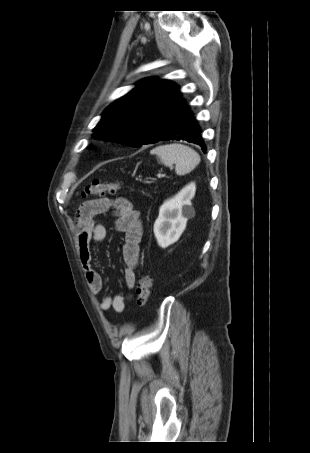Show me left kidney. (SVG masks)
<instances>
[{
    "label": "left kidney",
    "instance_id": "1",
    "mask_svg": "<svg viewBox=\"0 0 310 453\" xmlns=\"http://www.w3.org/2000/svg\"><path fill=\"white\" fill-rule=\"evenodd\" d=\"M195 191L196 185L191 182L160 207L159 216L154 223V235L161 248H167L177 242L188 219L195 215L191 203Z\"/></svg>",
    "mask_w": 310,
    "mask_h": 453
}]
</instances>
